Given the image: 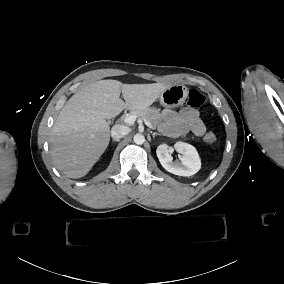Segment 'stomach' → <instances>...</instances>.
I'll use <instances>...</instances> for the list:
<instances>
[{
	"label": "stomach",
	"instance_id": "stomach-1",
	"mask_svg": "<svg viewBox=\"0 0 284 284\" xmlns=\"http://www.w3.org/2000/svg\"><path fill=\"white\" fill-rule=\"evenodd\" d=\"M188 94L189 90L185 85H172L161 94L160 104L167 109L180 107L185 103Z\"/></svg>",
	"mask_w": 284,
	"mask_h": 284
}]
</instances>
